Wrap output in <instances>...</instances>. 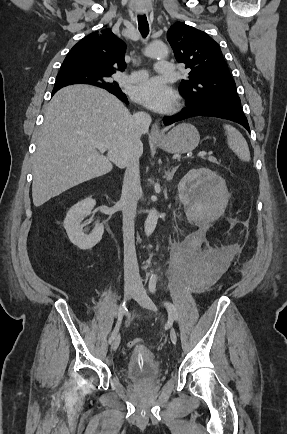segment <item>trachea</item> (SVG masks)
I'll return each mask as SVG.
<instances>
[{
    "label": "trachea",
    "mask_w": 287,
    "mask_h": 434,
    "mask_svg": "<svg viewBox=\"0 0 287 434\" xmlns=\"http://www.w3.org/2000/svg\"><path fill=\"white\" fill-rule=\"evenodd\" d=\"M139 31L143 37H146L149 33V24L146 15L138 16Z\"/></svg>",
    "instance_id": "3493384b"
}]
</instances>
